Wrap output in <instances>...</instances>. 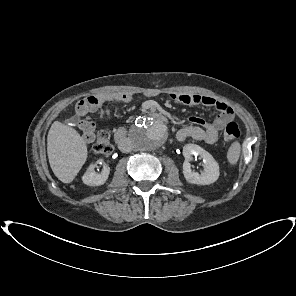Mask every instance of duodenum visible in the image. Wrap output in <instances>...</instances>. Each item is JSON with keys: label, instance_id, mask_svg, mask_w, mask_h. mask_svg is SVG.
I'll return each mask as SVG.
<instances>
[{"label": "duodenum", "instance_id": "obj_1", "mask_svg": "<svg viewBox=\"0 0 296 296\" xmlns=\"http://www.w3.org/2000/svg\"><path fill=\"white\" fill-rule=\"evenodd\" d=\"M150 114L157 120L160 122H167V117L160 113V112H150ZM114 139L115 142L117 143V145L119 146L120 149L125 150L127 149L128 145H129V141L127 138V134H126V130L121 128L118 129L115 134H114Z\"/></svg>", "mask_w": 296, "mask_h": 296}]
</instances>
